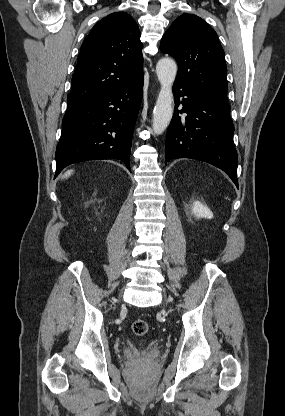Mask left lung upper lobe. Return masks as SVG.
I'll return each instance as SVG.
<instances>
[{"instance_id": "obj_1", "label": "left lung upper lobe", "mask_w": 285, "mask_h": 416, "mask_svg": "<svg viewBox=\"0 0 285 416\" xmlns=\"http://www.w3.org/2000/svg\"><path fill=\"white\" fill-rule=\"evenodd\" d=\"M160 49L175 58V82L209 98L227 102V67L216 32L200 17L179 16L164 34Z\"/></svg>"}]
</instances>
